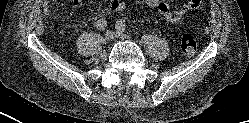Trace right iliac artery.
<instances>
[{
  "label": "right iliac artery",
  "mask_w": 249,
  "mask_h": 123,
  "mask_svg": "<svg viewBox=\"0 0 249 123\" xmlns=\"http://www.w3.org/2000/svg\"><path fill=\"white\" fill-rule=\"evenodd\" d=\"M107 26V21L105 19H99L97 22H96V27L99 29V30H104Z\"/></svg>",
  "instance_id": "82829eb1"
}]
</instances>
